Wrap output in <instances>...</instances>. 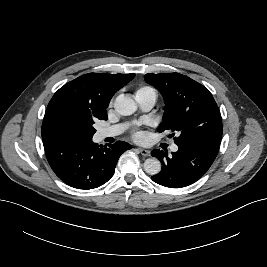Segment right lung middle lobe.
I'll return each mask as SVG.
<instances>
[{
    "label": "right lung middle lobe",
    "instance_id": "1",
    "mask_svg": "<svg viewBox=\"0 0 267 267\" xmlns=\"http://www.w3.org/2000/svg\"><path fill=\"white\" fill-rule=\"evenodd\" d=\"M96 120L92 115H80L68 111L60 118L58 135L71 139L92 138L96 132L93 127Z\"/></svg>",
    "mask_w": 267,
    "mask_h": 267
}]
</instances>
